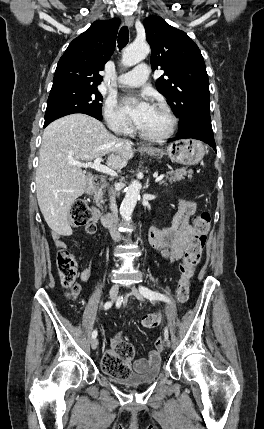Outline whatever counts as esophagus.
I'll list each match as a JSON object with an SVG mask.
<instances>
[{
	"mask_svg": "<svg viewBox=\"0 0 264 429\" xmlns=\"http://www.w3.org/2000/svg\"><path fill=\"white\" fill-rule=\"evenodd\" d=\"M125 23H126V25L128 26V27H133V24H134V17L133 16H131V15H128V16H126L125 17ZM141 148H144V149H147V148H149L148 146H145V145H142L141 146Z\"/></svg>",
	"mask_w": 264,
	"mask_h": 429,
	"instance_id": "obj_1",
	"label": "esophagus"
}]
</instances>
